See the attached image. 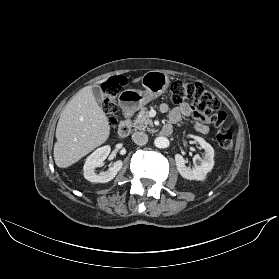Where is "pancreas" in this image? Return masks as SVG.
<instances>
[{"mask_svg":"<svg viewBox=\"0 0 279 279\" xmlns=\"http://www.w3.org/2000/svg\"><path fill=\"white\" fill-rule=\"evenodd\" d=\"M133 125L135 129L138 130H148L152 131V129L149 126L153 125L152 120L149 118L148 111L146 108H142L136 117V119L133 122Z\"/></svg>","mask_w":279,"mask_h":279,"instance_id":"cf45deb5","label":"pancreas"}]
</instances>
